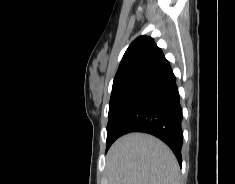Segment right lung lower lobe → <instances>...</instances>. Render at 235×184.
<instances>
[{
    "label": "right lung lower lobe",
    "mask_w": 235,
    "mask_h": 184,
    "mask_svg": "<svg viewBox=\"0 0 235 184\" xmlns=\"http://www.w3.org/2000/svg\"><path fill=\"white\" fill-rule=\"evenodd\" d=\"M181 123L176 77L165 59L128 87L109 126L115 140L130 132L158 137L171 148L181 166Z\"/></svg>",
    "instance_id": "obj_1"
}]
</instances>
